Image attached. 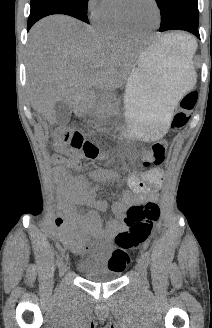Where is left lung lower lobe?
<instances>
[{"instance_id": "1", "label": "left lung lower lobe", "mask_w": 212, "mask_h": 328, "mask_svg": "<svg viewBox=\"0 0 212 328\" xmlns=\"http://www.w3.org/2000/svg\"><path fill=\"white\" fill-rule=\"evenodd\" d=\"M167 30H184V31H188V32L194 34L197 38L200 39L199 32H198V27H195V26L190 25V24L178 23V24L172 25Z\"/></svg>"}]
</instances>
